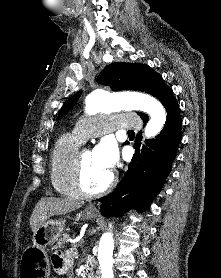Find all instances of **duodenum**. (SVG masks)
Here are the masks:
<instances>
[{"mask_svg":"<svg viewBox=\"0 0 221 278\" xmlns=\"http://www.w3.org/2000/svg\"><path fill=\"white\" fill-rule=\"evenodd\" d=\"M86 276L87 278H100L99 269L91 260H89L86 264Z\"/></svg>","mask_w":221,"mask_h":278,"instance_id":"410a0bca","label":"duodenum"}]
</instances>
